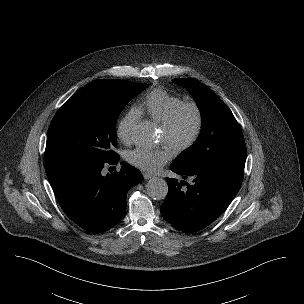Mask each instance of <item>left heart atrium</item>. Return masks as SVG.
I'll return each mask as SVG.
<instances>
[{"label":"left heart atrium","mask_w":304,"mask_h":304,"mask_svg":"<svg viewBox=\"0 0 304 304\" xmlns=\"http://www.w3.org/2000/svg\"><path fill=\"white\" fill-rule=\"evenodd\" d=\"M174 152L169 147L158 149L136 148L126 154V160L132 166L145 171L155 172L173 157Z\"/></svg>","instance_id":"39dd6f15"}]
</instances>
